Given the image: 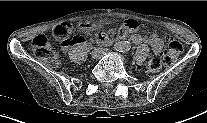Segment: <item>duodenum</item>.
<instances>
[{
    "label": "duodenum",
    "mask_w": 207,
    "mask_h": 123,
    "mask_svg": "<svg viewBox=\"0 0 207 123\" xmlns=\"http://www.w3.org/2000/svg\"><path fill=\"white\" fill-rule=\"evenodd\" d=\"M111 41L108 39L106 42H104V43H110Z\"/></svg>",
    "instance_id": "410a0bca"
}]
</instances>
